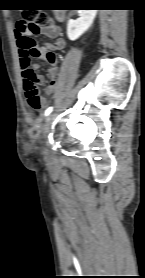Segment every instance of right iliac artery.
Masks as SVG:
<instances>
[{
	"mask_svg": "<svg viewBox=\"0 0 145 278\" xmlns=\"http://www.w3.org/2000/svg\"><path fill=\"white\" fill-rule=\"evenodd\" d=\"M53 108L49 107L46 111H45V116L49 115L52 112Z\"/></svg>",
	"mask_w": 145,
	"mask_h": 278,
	"instance_id": "obj_1",
	"label": "right iliac artery"
}]
</instances>
